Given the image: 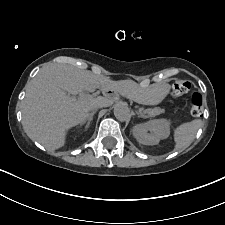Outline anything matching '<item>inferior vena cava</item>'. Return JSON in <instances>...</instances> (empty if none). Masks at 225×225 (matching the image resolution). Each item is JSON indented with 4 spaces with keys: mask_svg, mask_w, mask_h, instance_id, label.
<instances>
[{
    "mask_svg": "<svg viewBox=\"0 0 225 225\" xmlns=\"http://www.w3.org/2000/svg\"><path fill=\"white\" fill-rule=\"evenodd\" d=\"M106 104L103 102V101H99L97 103H95L91 108L90 110H96L97 108H102V107H105Z\"/></svg>",
    "mask_w": 225,
    "mask_h": 225,
    "instance_id": "1",
    "label": "inferior vena cava"
}]
</instances>
